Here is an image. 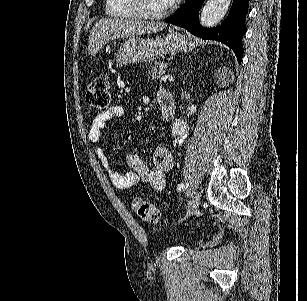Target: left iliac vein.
I'll return each mask as SVG.
<instances>
[{
	"instance_id": "1",
	"label": "left iliac vein",
	"mask_w": 307,
	"mask_h": 301,
	"mask_svg": "<svg viewBox=\"0 0 307 301\" xmlns=\"http://www.w3.org/2000/svg\"><path fill=\"white\" fill-rule=\"evenodd\" d=\"M199 203H200V196L198 193H195L189 202L185 218L189 217L196 211L197 207L199 206Z\"/></svg>"
}]
</instances>
